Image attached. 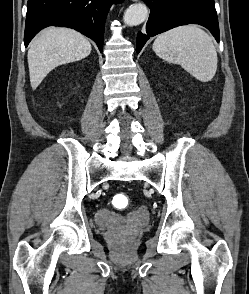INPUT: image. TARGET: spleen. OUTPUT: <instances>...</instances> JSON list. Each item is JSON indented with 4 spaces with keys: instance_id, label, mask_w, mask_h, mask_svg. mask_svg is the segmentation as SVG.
Here are the masks:
<instances>
[{
    "instance_id": "spleen-1",
    "label": "spleen",
    "mask_w": 249,
    "mask_h": 294,
    "mask_svg": "<svg viewBox=\"0 0 249 294\" xmlns=\"http://www.w3.org/2000/svg\"><path fill=\"white\" fill-rule=\"evenodd\" d=\"M153 51L161 59L181 65L201 82L210 81L217 70V52L208 33L196 25H184L157 36Z\"/></svg>"
}]
</instances>
